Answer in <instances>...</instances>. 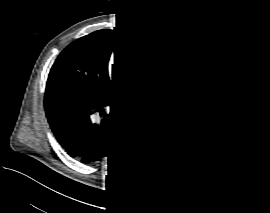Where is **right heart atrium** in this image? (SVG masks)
Masks as SVG:
<instances>
[{
	"mask_svg": "<svg viewBox=\"0 0 270 213\" xmlns=\"http://www.w3.org/2000/svg\"><path fill=\"white\" fill-rule=\"evenodd\" d=\"M119 66H121V76L123 79H125L129 72V65L123 62V65H119Z\"/></svg>",
	"mask_w": 270,
	"mask_h": 213,
	"instance_id": "right-heart-atrium-1",
	"label": "right heart atrium"
}]
</instances>
